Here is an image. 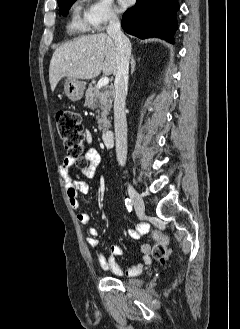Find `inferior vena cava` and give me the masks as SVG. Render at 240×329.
Returning a JSON list of instances; mask_svg holds the SVG:
<instances>
[{"label":"inferior vena cava","mask_w":240,"mask_h":329,"mask_svg":"<svg viewBox=\"0 0 240 329\" xmlns=\"http://www.w3.org/2000/svg\"><path fill=\"white\" fill-rule=\"evenodd\" d=\"M108 35L116 46L114 127L116 140V156L119 165L124 166L127 158V121L125 115V99L128 89L129 60L131 43L121 31L117 16H112L107 27Z\"/></svg>","instance_id":"1"}]
</instances>
